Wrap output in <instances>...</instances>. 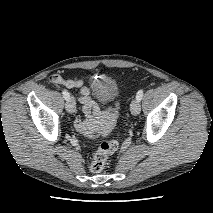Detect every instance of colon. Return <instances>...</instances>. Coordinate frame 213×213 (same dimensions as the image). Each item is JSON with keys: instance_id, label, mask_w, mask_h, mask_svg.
<instances>
[{"instance_id": "colon-1", "label": "colon", "mask_w": 213, "mask_h": 213, "mask_svg": "<svg viewBox=\"0 0 213 213\" xmlns=\"http://www.w3.org/2000/svg\"><path fill=\"white\" fill-rule=\"evenodd\" d=\"M118 149V142L114 139H109L100 144L96 150L92 161L90 162L89 169L91 172H101L110 155Z\"/></svg>"}]
</instances>
